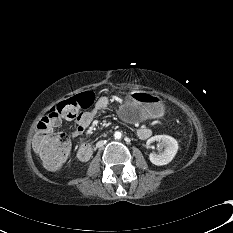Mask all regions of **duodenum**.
I'll return each mask as SVG.
<instances>
[{
    "label": "duodenum",
    "mask_w": 233,
    "mask_h": 233,
    "mask_svg": "<svg viewBox=\"0 0 233 233\" xmlns=\"http://www.w3.org/2000/svg\"><path fill=\"white\" fill-rule=\"evenodd\" d=\"M95 147L89 144H83L78 150V157L81 161L86 162L90 159Z\"/></svg>",
    "instance_id": "410a0bca"
}]
</instances>
